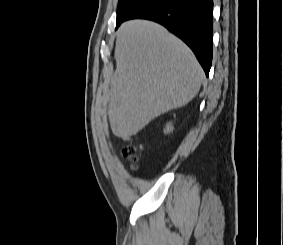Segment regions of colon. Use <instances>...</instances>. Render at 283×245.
Instances as JSON below:
<instances>
[{"label": "colon", "instance_id": "5ec220e1", "mask_svg": "<svg viewBox=\"0 0 283 245\" xmlns=\"http://www.w3.org/2000/svg\"><path fill=\"white\" fill-rule=\"evenodd\" d=\"M142 146L140 144H136L133 142H130L127 144L123 149V154L126 156L129 161L132 163V167H136V163L138 160V153L141 150Z\"/></svg>", "mask_w": 283, "mask_h": 245}]
</instances>
